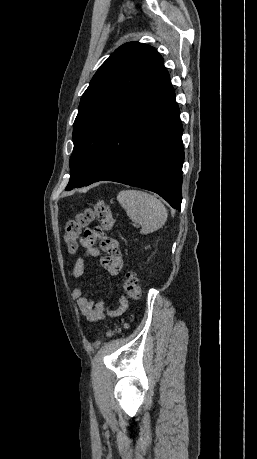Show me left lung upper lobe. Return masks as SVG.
<instances>
[{"label":"left lung upper lobe","mask_w":257,"mask_h":459,"mask_svg":"<svg viewBox=\"0 0 257 459\" xmlns=\"http://www.w3.org/2000/svg\"><path fill=\"white\" fill-rule=\"evenodd\" d=\"M162 66L161 55L139 42L120 46L100 66L82 95L74 122V149L66 190L87 186L95 180L107 158L115 126Z\"/></svg>","instance_id":"1"}]
</instances>
